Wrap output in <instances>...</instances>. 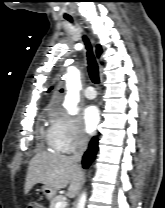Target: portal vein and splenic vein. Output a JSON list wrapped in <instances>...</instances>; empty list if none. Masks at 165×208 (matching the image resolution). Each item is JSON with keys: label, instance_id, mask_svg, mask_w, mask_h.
I'll use <instances>...</instances> for the list:
<instances>
[{"label": "portal vein and splenic vein", "instance_id": "portal-vein-and-splenic-vein-1", "mask_svg": "<svg viewBox=\"0 0 165 208\" xmlns=\"http://www.w3.org/2000/svg\"><path fill=\"white\" fill-rule=\"evenodd\" d=\"M67 206V201L64 199L61 202L56 203L55 208H65Z\"/></svg>", "mask_w": 165, "mask_h": 208}]
</instances>
